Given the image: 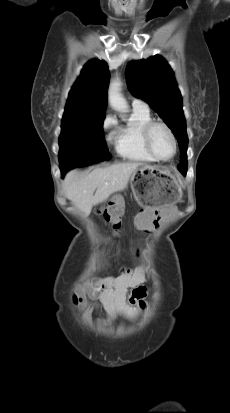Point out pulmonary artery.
Returning <instances> with one entry per match:
<instances>
[{"mask_svg": "<svg viewBox=\"0 0 230 413\" xmlns=\"http://www.w3.org/2000/svg\"><path fill=\"white\" fill-rule=\"evenodd\" d=\"M132 105L134 107L148 108L147 104L144 101L139 100V99H134L132 102Z\"/></svg>", "mask_w": 230, "mask_h": 413, "instance_id": "obj_1", "label": "pulmonary artery"}]
</instances>
